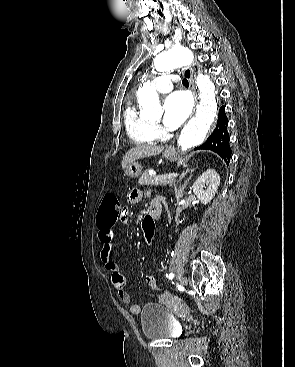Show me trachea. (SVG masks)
<instances>
[{"label": "trachea", "instance_id": "1", "mask_svg": "<svg viewBox=\"0 0 295 367\" xmlns=\"http://www.w3.org/2000/svg\"><path fill=\"white\" fill-rule=\"evenodd\" d=\"M182 84H183L184 86H186V87H188V86H189L188 80H187V79H185V78L182 80Z\"/></svg>", "mask_w": 295, "mask_h": 367}]
</instances>
